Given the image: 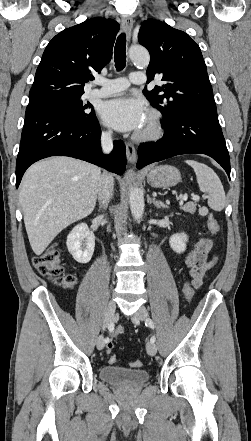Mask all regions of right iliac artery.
Listing matches in <instances>:
<instances>
[{"instance_id":"obj_1","label":"right iliac artery","mask_w":251,"mask_h":441,"mask_svg":"<svg viewBox=\"0 0 251 441\" xmlns=\"http://www.w3.org/2000/svg\"><path fill=\"white\" fill-rule=\"evenodd\" d=\"M108 330H109L110 333L113 332V330H114V324H113L112 322L108 325ZM108 341H109V337H106V338L104 339V342L107 343Z\"/></svg>"}]
</instances>
